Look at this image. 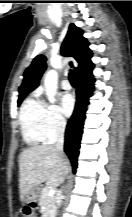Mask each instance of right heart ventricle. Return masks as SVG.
Here are the masks:
<instances>
[{
    "instance_id": "1",
    "label": "right heart ventricle",
    "mask_w": 132,
    "mask_h": 217,
    "mask_svg": "<svg viewBox=\"0 0 132 217\" xmlns=\"http://www.w3.org/2000/svg\"><path fill=\"white\" fill-rule=\"evenodd\" d=\"M45 105L34 97L27 98L21 107L20 125L22 137L29 146H38L46 142L43 132Z\"/></svg>"
}]
</instances>
